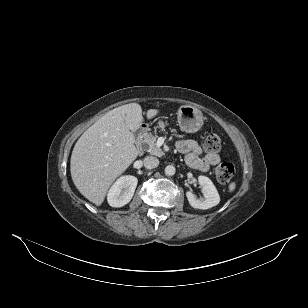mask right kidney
Instances as JSON below:
<instances>
[{
  "label": "right kidney",
  "instance_id": "ca27d5eb",
  "mask_svg": "<svg viewBox=\"0 0 308 308\" xmlns=\"http://www.w3.org/2000/svg\"><path fill=\"white\" fill-rule=\"evenodd\" d=\"M138 180L134 176L120 177L110 188L107 201L112 207H122L128 204L135 192Z\"/></svg>",
  "mask_w": 308,
  "mask_h": 308
}]
</instances>
